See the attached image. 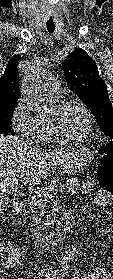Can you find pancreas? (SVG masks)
I'll list each match as a JSON object with an SVG mask.
<instances>
[{"mask_svg":"<svg viewBox=\"0 0 113 279\" xmlns=\"http://www.w3.org/2000/svg\"><path fill=\"white\" fill-rule=\"evenodd\" d=\"M68 183V190L72 194L78 193L80 190V185L78 183L77 178H70L67 180ZM53 185H50L52 187ZM50 195V190L49 188H42L41 190L35 192L31 199L29 200L28 206L29 209L33 212L34 214V220L35 224L37 226V229H45L48 227L50 224V221L47 220L46 222H43L41 220V216L37 215V210L44 211L46 205L48 204L49 200L45 201L47 196Z\"/></svg>","mask_w":113,"mask_h":279,"instance_id":"1","label":"pancreas"}]
</instances>
